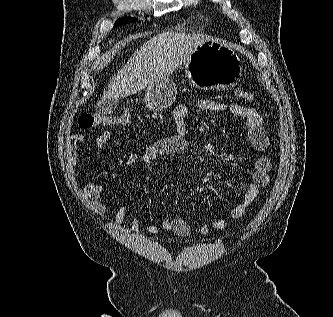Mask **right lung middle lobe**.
<instances>
[{
	"mask_svg": "<svg viewBox=\"0 0 333 317\" xmlns=\"http://www.w3.org/2000/svg\"><path fill=\"white\" fill-rule=\"evenodd\" d=\"M135 19H136V18H131V17H129V18L125 17V18L118 19V20L115 22V26L129 23V22H131V21H133V20H135Z\"/></svg>",
	"mask_w": 333,
	"mask_h": 317,
	"instance_id": "dd1d6c3e",
	"label": "right lung middle lobe"
}]
</instances>
